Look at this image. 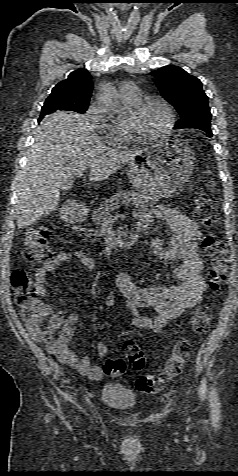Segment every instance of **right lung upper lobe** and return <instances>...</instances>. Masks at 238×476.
Instances as JSON below:
<instances>
[{
  "instance_id": "obj_1",
  "label": "right lung upper lobe",
  "mask_w": 238,
  "mask_h": 476,
  "mask_svg": "<svg viewBox=\"0 0 238 476\" xmlns=\"http://www.w3.org/2000/svg\"><path fill=\"white\" fill-rule=\"evenodd\" d=\"M93 89V81L90 73L83 69H77L69 74L66 80L59 82L50 96L59 94L67 98L75 105H87Z\"/></svg>"
}]
</instances>
